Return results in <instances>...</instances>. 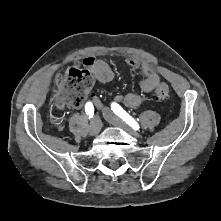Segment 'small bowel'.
<instances>
[{
  "instance_id": "c3829d8e",
  "label": "small bowel",
  "mask_w": 221,
  "mask_h": 221,
  "mask_svg": "<svg viewBox=\"0 0 221 221\" xmlns=\"http://www.w3.org/2000/svg\"><path fill=\"white\" fill-rule=\"evenodd\" d=\"M84 64L90 69L94 78L100 83H109L114 80L115 73L111 67L103 60L88 57L84 59ZM125 65L133 70H140L144 75V80L140 84L142 92H151L159 83L160 75L156 69L148 62H141L137 58H129ZM91 99L95 105L99 106L100 101L95 95H91ZM118 101L125 103L131 108H137L142 103V97L139 94L130 92L125 95H119ZM60 108H64L65 104L59 102Z\"/></svg>"
}]
</instances>
